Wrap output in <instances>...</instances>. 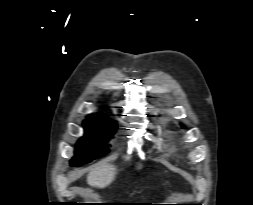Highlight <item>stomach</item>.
<instances>
[{"label":"stomach","mask_w":253,"mask_h":205,"mask_svg":"<svg viewBox=\"0 0 253 205\" xmlns=\"http://www.w3.org/2000/svg\"><path fill=\"white\" fill-rule=\"evenodd\" d=\"M142 166H143V164L139 162V163H137V164L135 165V168H136V169H141Z\"/></svg>","instance_id":"0dacf381"}]
</instances>
